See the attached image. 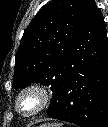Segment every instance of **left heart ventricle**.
Instances as JSON below:
<instances>
[{"label": "left heart ventricle", "mask_w": 108, "mask_h": 127, "mask_svg": "<svg viewBox=\"0 0 108 127\" xmlns=\"http://www.w3.org/2000/svg\"><path fill=\"white\" fill-rule=\"evenodd\" d=\"M33 103H34V99L33 98H28L24 102V107L25 108H30L33 105Z\"/></svg>", "instance_id": "1"}]
</instances>
